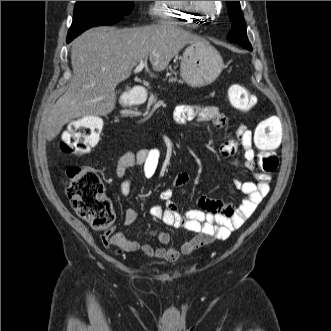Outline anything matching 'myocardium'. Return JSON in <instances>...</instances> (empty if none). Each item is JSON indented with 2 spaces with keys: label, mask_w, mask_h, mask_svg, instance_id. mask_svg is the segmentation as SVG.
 <instances>
[{
  "label": "myocardium",
  "mask_w": 331,
  "mask_h": 331,
  "mask_svg": "<svg viewBox=\"0 0 331 331\" xmlns=\"http://www.w3.org/2000/svg\"><path fill=\"white\" fill-rule=\"evenodd\" d=\"M216 1H189L191 8L197 11H204L208 9L210 12H214L216 9Z\"/></svg>",
  "instance_id": "myocardium-1"
}]
</instances>
